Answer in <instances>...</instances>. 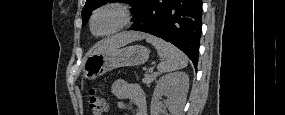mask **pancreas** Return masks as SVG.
<instances>
[{
	"label": "pancreas",
	"mask_w": 285,
	"mask_h": 115,
	"mask_svg": "<svg viewBox=\"0 0 285 115\" xmlns=\"http://www.w3.org/2000/svg\"><path fill=\"white\" fill-rule=\"evenodd\" d=\"M160 74L158 72H154L151 74L146 73L144 75V78L142 82L146 85L149 86Z\"/></svg>",
	"instance_id": "1"
}]
</instances>
